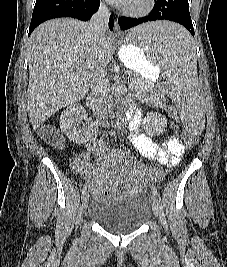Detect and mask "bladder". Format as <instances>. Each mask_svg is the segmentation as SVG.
Instances as JSON below:
<instances>
[{
    "mask_svg": "<svg viewBox=\"0 0 227 267\" xmlns=\"http://www.w3.org/2000/svg\"><path fill=\"white\" fill-rule=\"evenodd\" d=\"M89 218L104 229L126 234L139 229L150 217V206L142 195L120 200H97L89 212Z\"/></svg>",
    "mask_w": 227,
    "mask_h": 267,
    "instance_id": "31cf9c89",
    "label": "bladder"
}]
</instances>
